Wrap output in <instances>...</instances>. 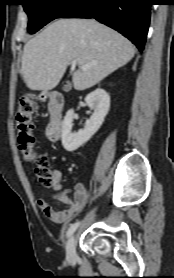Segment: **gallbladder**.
Returning a JSON list of instances; mask_svg holds the SVG:
<instances>
[{
  "mask_svg": "<svg viewBox=\"0 0 174 278\" xmlns=\"http://www.w3.org/2000/svg\"><path fill=\"white\" fill-rule=\"evenodd\" d=\"M70 89V86L69 85H65L64 87H63V90H69Z\"/></svg>",
  "mask_w": 174,
  "mask_h": 278,
  "instance_id": "obj_1",
  "label": "gallbladder"
}]
</instances>
